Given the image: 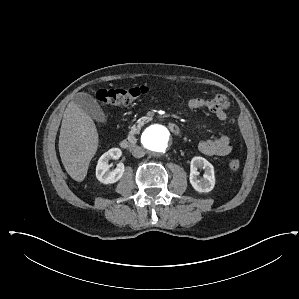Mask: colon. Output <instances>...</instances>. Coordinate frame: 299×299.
<instances>
[{
    "label": "colon",
    "instance_id": "colon-1",
    "mask_svg": "<svg viewBox=\"0 0 299 299\" xmlns=\"http://www.w3.org/2000/svg\"><path fill=\"white\" fill-rule=\"evenodd\" d=\"M148 91L146 86H135L131 88H114V89H101L98 92V100L104 105L110 107H117L127 105L139 97L145 95ZM241 166V162L237 158L229 161V167L232 170H237Z\"/></svg>",
    "mask_w": 299,
    "mask_h": 299
}]
</instances>
